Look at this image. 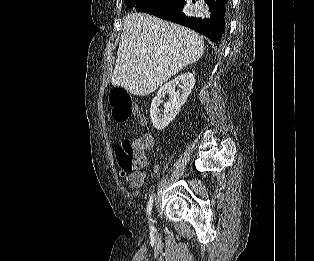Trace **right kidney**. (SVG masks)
I'll return each instance as SVG.
<instances>
[{"label": "right kidney", "mask_w": 314, "mask_h": 261, "mask_svg": "<svg viewBox=\"0 0 314 261\" xmlns=\"http://www.w3.org/2000/svg\"><path fill=\"white\" fill-rule=\"evenodd\" d=\"M195 84V77L192 73H184L172 81L166 83L158 90L157 96L152 100L150 117L154 128L163 130L178 114L181 106L186 102ZM176 87L179 89L176 91ZM169 95V101L160 110L161 98Z\"/></svg>", "instance_id": "obj_1"}]
</instances>
